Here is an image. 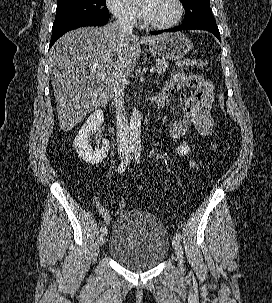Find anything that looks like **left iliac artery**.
I'll return each mask as SVG.
<instances>
[{"instance_id":"44dca946","label":"left iliac artery","mask_w":272,"mask_h":303,"mask_svg":"<svg viewBox=\"0 0 272 303\" xmlns=\"http://www.w3.org/2000/svg\"><path fill=\"white\" fill-rule=\"evenodd\" d=\"M134 153H135V160L137 163L140 162V157H141V144H137L135 146V149H134ZM175 237L178 238L179 240H181L182 236L179 232L175 233Z\"/></svg>"}]
</instances>
